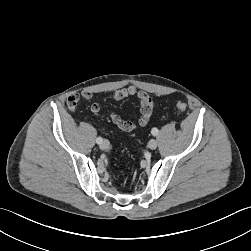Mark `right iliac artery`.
I'll return each instance as SVG.
<instances>
[{
	"mask_svg": "<svg viewBox=\"0 0 251 251\" xmlns=\"http://www.w3.org/2000/svg\"><path fill=\"white\" fill-rule=\"evenodd\" d=\"M96 142H97L98 144H101V143L103 142V139H102L101 137H98V138L96 139Z\"/></svg>",
	"mask_w": 251,
	"mask_h": 251,
	"instance_id": "82829eb1",
	"label": "right iliac artery"
}]
</instances>
